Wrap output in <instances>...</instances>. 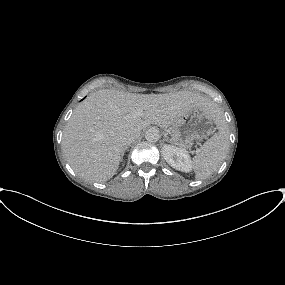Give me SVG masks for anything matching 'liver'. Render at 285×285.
<instances>
[{
  "mask_svg": "<svg viewBox=\"0 0 285 285\" xmlns=\"http://www.w3.org/2000/svg\"><path fill=\"white\" fill-rule=\"evenodd\" d=\"M195 107L208 111L216 119L217 106L189 91L137 94L99 90L79 104L67 122L62 138L64 155L83 179L105 182L118 169L124 134H140L151 124L166 129ZM137 110L142 115L133 117L132 113Z\"/></svg>",
  "mask_w": 285,
  "mask_h": 285,
  "instance_id": "1",
  "label": "liver"
}]
</instances>
